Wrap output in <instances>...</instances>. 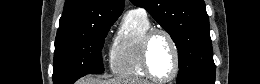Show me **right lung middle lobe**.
Here are the masks:
<instances>
[{
    "mask_svg": "<svg viewBox=\"0 0 260 84\" xmlns=\"http://www.w3.org/2000/svg\"><path fill=\"white\" fill-rule=\"evenodd\" d=\"M113 21H99L71 37L56 38L54 84H73L78 78L103 73L101 50Z\"/></svg>",
    "mask_w": 260,
    "mask_h": 84,
    "instance_id": "dd1d6c3e",
    "label": "right lung middle lobe"
}]
</instances>
